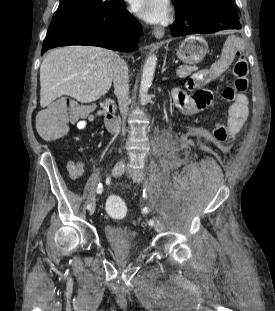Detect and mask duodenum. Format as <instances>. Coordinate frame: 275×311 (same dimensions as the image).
<instances>
[{"label":"duodenum","mask_w":275,"mask_h":311,"mask_svg":"<svg viewBox=\"0 0 275 311\" xmlns=\"http://www.w3.org/2000/svg\"><path fill=\"white\" fill-rule=\"evenodd\" d=\"M104 122L108 131L116 133L119 129V119L116 114V104L106 100L103 104Z\"/></svg>","instance_id":"410a0bca"}]
</instances>
